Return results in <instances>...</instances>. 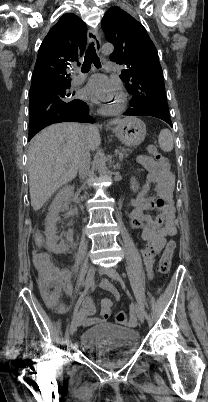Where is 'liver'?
Wrapping results in <instances>:
<instances>
[{
  "label": "liver",
  "instance_id": "6515ba94",
  "mask_svg": "<svg viewBox=\"0 0 208 402\" xmlns=\"http://www.w3.org/2000/svg\"><path fill=\"white\" fill-rule=\"evenodd\" d=\"M119 122L121 120H112L110 124ZM81 128L80 124H53L31 140L27 168L31 206L35 212L58 188L76 178L81 138L87 140L90 150L100 146L97 126H88L87 132H81Z\"/></svg>",
  "mask_w": 208,
  "mask_h": 402
}]
</instances>
